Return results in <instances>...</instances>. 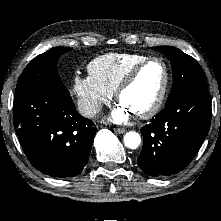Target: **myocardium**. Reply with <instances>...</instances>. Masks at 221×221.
<instances>
[{"mask_svg":"<svg viewBox=\"0 0 221 221\" xmlns=\"http://www.w3.org/2000/svg\"><path fill=\"white\" fill-rule=\"evenodd\" d=\"M157 62L160 63L163 66L164 69V81L162 84V87L160 89V92L154 101V103L146 110L134 114L136 118L139 119H148L154 116L162 107L164 100L167 95L169 82H170V70L167 65V63L158 57H149L146 60L138 63L135 65L123 78V80L120 82L118 87L116 88L114 92V97L117 102H119V99L121 95L133 84L135 79L137 78L138 74L142 71L143 68H145L148 64Z\"/></svg>","mask_w":221,"mask_h":221,"instance_id":"obj_1","label":"myocardium"}]
</instances>
